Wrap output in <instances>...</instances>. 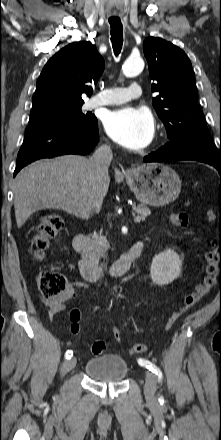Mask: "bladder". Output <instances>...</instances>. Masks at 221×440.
Instances as JSON below:
<instances>
[{
    "label": "bladder",
    "mask_w": 221,
    "mask_h": 440,
    "mask_svg": "<svg viewBox=\"0 0 221 440\" xmlns=\"http://www.w3.org/2000/svg\"><path fill=\"white\" fill-rule=\"evenodd\" d=\"M86 375L96 381L119 383L128 374V364L125 358L118 354H104L87 361Z\"/></svg>",
    "instance_id": "obj_1"
}]
</instances>
